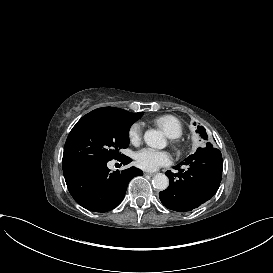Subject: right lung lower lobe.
Instances as JSON below:
<instances>
[{"mask_svg": "<svg viewBox=\"0 0 273 273\" xmlns=\"http://www.w3.org/2000/svg\"><path fill=\"white\" fill-rule=\"evenodd\" d=\"M124 165L132 160L123 156ZM108 161L83 162L63 169L68 190L74 200L90 211L107 212L118 206L126 193L129 181L142 171L131 167L110 173Z\"/></svg>", "mask_w": 273, "mask_h": 273, "instance_id": "obj_1", "label": "right lung lower lobe"}]
</instances>
